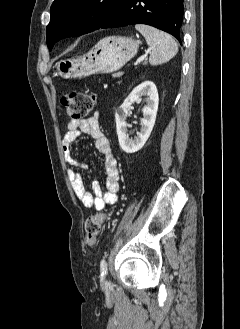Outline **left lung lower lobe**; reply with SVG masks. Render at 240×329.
<instances>
[{
    "mask_svg": "<svg viewBox=\"0 0 240 329\" xmlns=\"http://www.w3.org/2000/svg\"><path fill=\"white\" fill-rule=\"evenodd\" d=\"M183 14V0H123L100 28L147 24L170 33L181 44Z\"/></svg>",
    "mask_w": 240,
    "mask_h": 329,
    "instance_id": "obj_1",
    "label": "left lung lower lobe"
}]
</instances>
